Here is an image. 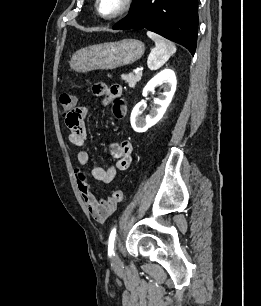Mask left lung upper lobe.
Wrapping results in <instances>:
<instances>
[{"label":"left lung upper lobe","instance_id":"obj_1","mask_svg":"<svg viewBox=\"0 0 261 306\" xmlns=\"http://www.w3.org/2000/svg\"><path fill=\"white\" fill-rule=\"evenodd\" d=\"M138 0H133V5L132 7L137 3Z\"/></svg>","mask_w":261,"mask_h":306}]
</instances>
